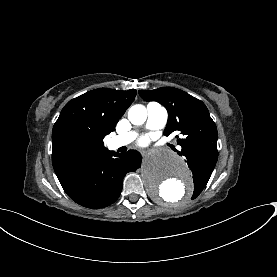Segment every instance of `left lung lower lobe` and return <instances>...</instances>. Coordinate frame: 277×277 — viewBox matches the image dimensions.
<instances>
[{
    "label": "left lung lower lobe",
    "instance_id": "obj_1",
    "mask_svg": "<svg viewBox=\"0 0 277 277\" xmlns=\"http://www.w3.org/2000/svg\"><path fill=\"white\" fill-rule=\"evenodd\" d=\"M178 153L186 157L192 173L201 170L213 171L218 158L217 144L211 142L184 148Z\"/></svg>",
    "mask_w": 277,
    "mask_h": 277
}]
</instances>
